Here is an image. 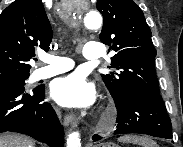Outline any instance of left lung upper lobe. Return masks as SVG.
I'll return each mask as SVG.
<instances>
[{"instance_id": "1", "label": "left lung upper lobe", "mask_w": 183, "mask_h": 147, "mask_svg": "<svg viewBox=\"0 0 183 147\" xmlns=\"http://www.w3.org/2000/svg\"><path fill=\"white\" fill-rule=\"evenodd\" d=\"M96 7L104 18L100 40L115 51L108 68L116 71L102 75L115 103L131 91L159 94L156 50L142 10L132 0H98Z\"/></svg>"}]
</instances>
